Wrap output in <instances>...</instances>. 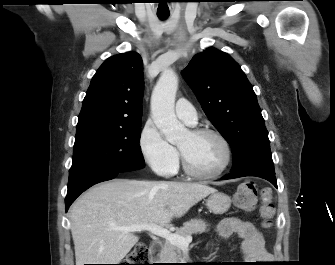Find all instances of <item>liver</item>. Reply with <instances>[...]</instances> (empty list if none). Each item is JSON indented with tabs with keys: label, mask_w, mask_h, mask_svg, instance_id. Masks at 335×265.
Returning a JSON list of instances; mask_svg holds the SVG:
<instances>
[{
	"label": "liver",
	"mask_w": 335,
	"mask_h": 265,
	"mask_svg": "<svg viewBox=\"0 0 335 265\" xmlns=\"http://www.w3.org/2000/svg\"><path fill=\"white\" fill-rule=\"evenodd\" d=\"M215 188L200 183L115 179L84 193L70 208L76 265L119 264L138 242L115 227L169 226Z\"/></svg>",
	"instance_id": "1"
}]
</instances>
